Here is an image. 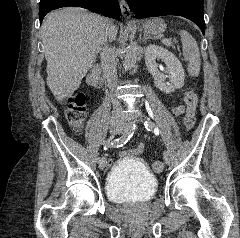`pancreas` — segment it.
Masks as SVG:
<instances>
[{"label": "pancreas", "instance_id": "1", "mask_svg": "<svg viewBox=\"0 0 240 238\" xmlns=\"http://www.w3.org/2000/svg\"><path fill=\"white\" fill-rule=\"evenodd\" d=\"M167 47L171 46V44H165Z\"/></svg>", "mask_w": 240, "mask_h": 238}]
</instances>
